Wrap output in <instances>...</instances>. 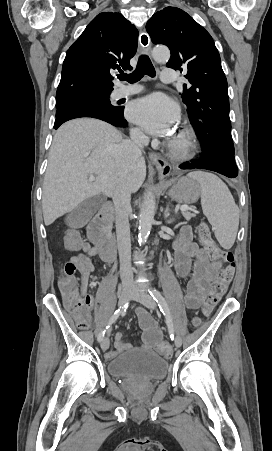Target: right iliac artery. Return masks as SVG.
<instances>
[{
    "label": "right iliac artery",
    "instance_id": "1",
    "mask_svg": "<svg viewBox=\"0 0 272 451\" xmlns=\"http://www.w3.org/2000/svg\"><path fill=\"white\" fill-rule=\"evenodd\" d=\"M127 308H128V303H126L124 306L120 307L118 310H116L113 313V315L111 316V318L109 320V323L106 326V328L102 332H100L99 335H98L97 339H98L99 342L103 339V337L105 335V332L110 330V325L112 323L116 322V320L119 318V316L126 312Z\"/></svg>",
    "mask_w": 272,
    "mask_h": 451
}]
</instances>
